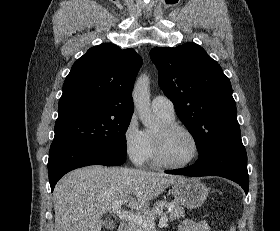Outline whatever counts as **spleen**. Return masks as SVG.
Instances as JSON below:
<instances>
[{
	"mask_svg": "<svg viewBox=\"0 0 280 231\" xmlns=\"http://www.w3.org/2000/svg\"><path fill=\"white\" fill-rule=\"evenodd\" d=\"M230 231H235V227H231Z\"/></svg>",
	"mask_w": 280,
	"mask_h": 231,
	"instance_id": "3e777b00",
	"label": "spleen"
}]
</instances>
